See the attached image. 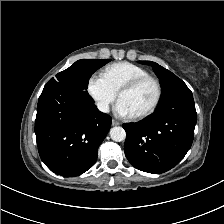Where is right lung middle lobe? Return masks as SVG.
Segmentation results:
<instances>
[{
  "mask_svg": "<svg viewBox=\"0 0 224 224\" xmlns=\"http://www.w3.org/2000/svg\"><path fill=\"white\" fill-rule=\"evenodd\" d=\"M109 61L101 59L78 60L68 69L58 73L55 79H50L47 85H64L88 94L86 89L91 75Z\"/></svg>",
  "mask_w": 224,
  "mask_h": 224,
  "instance_id": "right-lung-middle-lobe-1",
  "label": "right lung middle lobe"
}]
</instances>
